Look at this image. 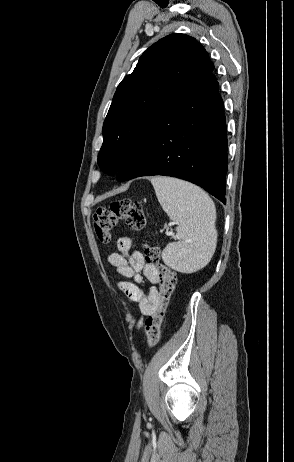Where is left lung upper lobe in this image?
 I'll list each match as a JSON object with an SVG mask.
<instances>
[{
    "label": "left lung upper lobe",
    "instance_id": "left-lung-upper-lobe-1",
    "mask_svg": "<svg viewBox=\"0 0 294 462\" xmlns=\"http://www.w3.org/2000/svg\"><path fill=\"white\" fill-rule=\"evenodd\" d=\"M213 70L204 47L188 35L171 34L150 46L117 87L103 124L100 168L108 175L118 173L157 114Z\"/></svg>",
    "mask_w": 294,
    "mask_h": 462
}]
</instances>
